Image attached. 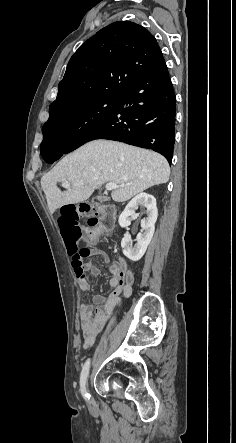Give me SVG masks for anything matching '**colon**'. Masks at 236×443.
I'll use <instances>...</instances> for the list:
<instances>
[{"label": "colon", "instance_id": "colon-1", "mask_svg": "<svg viewBox=\"0 0 236 443\" xmlns=\"http://www.w3.org/2000/svg\"><path fill=\"white\" fill-rule=\"evenodd\" d=\"M87 218L88 225L95 227L100 233L113 230L115 226V210L108 205L81 202L65 204L59 210L58 225L64 239L68 255L72 259V267L81 269L84 260L90 255V248L82 247L83 238H89L79 225V219Z\"/></svg>", "mask_w": 236, "mask_h": 443}]
</instances>
